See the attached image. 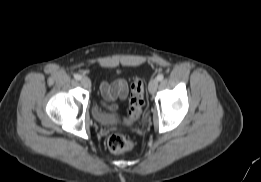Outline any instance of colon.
Wrapping results in <instances>:
<instances>
[{"label": "colon", "instance_id": "colon-1", "mask_svg": "<svg viewBox=\"0 0 261 182\" xmlns=\"http://www.w3.org/2000/svg\"><path fill=\"white\" fill-rule=\"evenodd\" d=\"M144 105V83L143 80L137 78L131 85L130 106L126 117V123L131 124L139 119ZM134 146V142L124 135H111L107 140L108 149L115 154L130 151Z\"/></svg>", "mask_w": 261, "mask_h": 182}]
</instances>
